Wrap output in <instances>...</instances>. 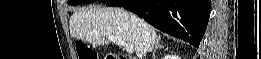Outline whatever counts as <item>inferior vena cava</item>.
<instances>
[{"mask_svg":"<svg viewBox=\"0 0 261 59\" xmlns=\"http://www.w3.org/2000/svg\"><path fill=\"white\" fill-rule=\"evenodd\" d=\"M131 26L136 29L141 38L146 42L150 38V33L146 28L145 22L134 14H131Z\"/></svg>","mask_w":261,"mask_h":59,"instance_id":"1","label":"inferior vena cava"}]
</instances>
